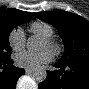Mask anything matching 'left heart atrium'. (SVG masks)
I'll return each mask as SVG.
<instances>
[{"label":"left heart atrium","mask_w":89,"mask_h":89,"mask_svg":"<svg viewBox=\"0 0 89 89\" xmlns=\"http://www.w3.org/2000/svg\"><path fill=\"white\" fill-rule=\"evenodd\" d=\"M53 58V52L50 49H44L38 53L23 51L15 56L17 65L24 68H37L41 64L48 63Z\"/></svg>","instance_id":"left-heart-atrium-1"}]
</instances>
